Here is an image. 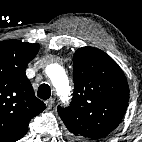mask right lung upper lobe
Wrapping results in <instances>:
<instances>
[{"label": "right lung upper lobe", "instance_id": "1", "mask_svg": "<svg viewBox=\"0 0 142 142\" xmlns=\"http://www.w3.org/2000/svg\"><path fill=\"white\" fill-rule=\"evenodd\" d=\"M38 50V44L0 42V142L21 139L28 131L29 121L45 109L25 73Z\"/></svg>", "mask_w": 142, "mask_h": 142}]
</instances>
